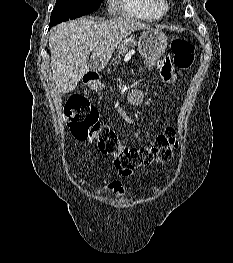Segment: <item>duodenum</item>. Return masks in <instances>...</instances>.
<instances>
[{"instance_id": "410a0bca", "label": "duodenum", "mask_w": 233, "mask_h": 263, "mask_svg": "<svg viewBox=\"0 0 233 263\" xmlns=\"http://www.w3.org/2000/svg\"><path fill=\"white\" fill-rule=\"evenodd\" d=\"M84 80L85 82H88V83L96 82L98 80V74L94 71H88L84 75Z\"/></svg>"}]
</instances>
